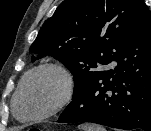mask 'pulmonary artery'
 Returning a JSON list of instances; mask_svg holds the SVG:
<instances>
[{"label":"pulmonary artery","mask_w":151,"mask_h":131,"mask_svg":"<svg viewBox=\"0 0 151 131\" xmlns=\"http://www.w3.org/2000/svg\"><path fill=\"white\" fill-rule=\"evenodd\" d=\"M115 66H116V63H115V62H113V63L110 64V67H111V68H114Z\"/></svg>","instance_id":"e3ab8cb5"}]
</instances>
